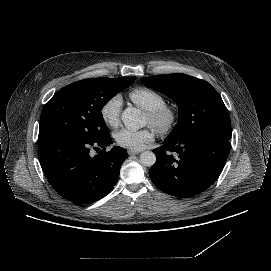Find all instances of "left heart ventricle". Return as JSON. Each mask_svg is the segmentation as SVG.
<instances>
[{"label":"left heart ventricle","instance_id":"left-heart-ventricle-1","mask_svg":"<svg viewBox=\"0 0 271 271\" xmlns=\"http://www.w3.org/2000/svg\"><path fill=\"white\" fill-rule=\"evenodd\" d=\"M146 120H147V122H149V118H148V116L146 115Z\"/></svg>","mask_w":271,"mask_h":271}]
</instances>
